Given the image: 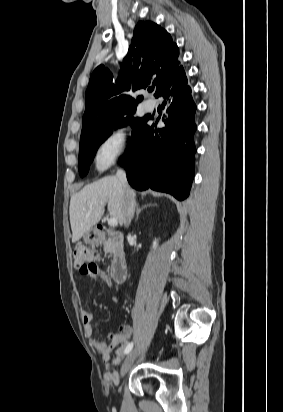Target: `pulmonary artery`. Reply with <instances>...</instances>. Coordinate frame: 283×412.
<instances>
[{"mask_svg":"<svg viewBox=\"0 0 283 412\" xmlns=\"http://www.w3.org/2000/svg\"><path fill=\"white\" fill-rule=\"evenodd\" d=\"M144 108H145L146 111H152L154 109V105L147 104V105L144 106Z\"/></svg>","mask_w":283,"mask_h":412,"instance_id":"e3ab8cb5","label":"pulmonary artery"}]
</instances>
